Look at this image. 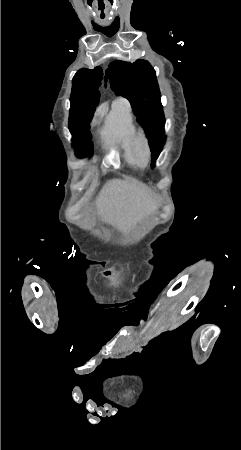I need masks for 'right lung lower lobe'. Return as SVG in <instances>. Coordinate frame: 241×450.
<instances>
[{
	"label": "right lung lower lobe",
	"mask_w": 241,
	"mask_h": 450,
	"mask_svg": "<svg viewBox=\"0 0 241 450\" xmlns=\"http://www.w3.org/2000/svg\"><path fill=\"white\" fill-rule=\"evenodd\" d=\"M93 117V114L90 112H86L83 115L79 117V120L77 121V124L75 126V130L73 131L72 135L74 137V140L78 142V146L76 150H82L89 146L91 143V135L89 132V123Z\"/></svg>",
	"instance_id": "obj_1"
}]
</instances>
